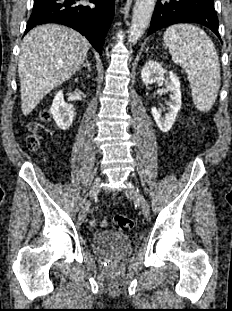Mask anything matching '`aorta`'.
<instances>
[{
  "instance_id": "obj_1",
  "label": "aorta",
  "mask_w": 232,
  "mask_h": 311,
  "mask_svg": "<svg viewBox=\"0 0 232 311\" xmlns=\"http://www.w3.org/2000/svg\"><path fill=\"white\" fill-rule=\"evenodd\" d=\"M156 0H137L133 9L128 42L136 43L144 34L154 11Z\"/></svg>"
}]
</instances>
